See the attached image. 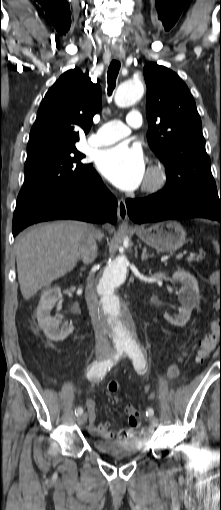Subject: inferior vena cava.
Here are the masks:
<instances>
[{"instance_id":"inferior-vena-cava-1","label":"inferior vena cava","mask_w":221,"mask_h":510,"mask_svg":"<svg viewBox=\"0 0 221 510\" xmlns=\"http://www.w3.org/2000/svg\"><path fill=\"white\" fill-rule=\"evenodd\" d=\"M98 236L99 231L91 226L77 252V257L82 258L84 264L91 263L97 257L96 239H98ZM86 300L95 332L96 351L109 352L110 344L106 334V326L100 313L93 274H90L87 279Z\"/></svg>"}]
</instances>
